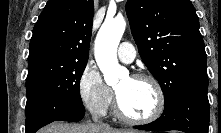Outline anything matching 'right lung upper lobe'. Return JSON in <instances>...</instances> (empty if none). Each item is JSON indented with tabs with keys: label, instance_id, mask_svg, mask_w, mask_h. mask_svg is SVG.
I'll list each match as a JSON object with an SVG mask.
<instances>
[{
	"label": "right lung upper lobe",
	"instance_id": "obj_1",
	"mask_svg": "<svg viewBox=\"0 0 221 133\" xmlns=\"http://www.w3.org/2000/svg\"><path fill=\"white\" fill-rule=\"evenodd\" d=\"M93 13V0H49L33 29L28 75L87 62Z\"/></svg>",
	"mask_w": 221,
	"mask_h": 133
}]
</instances>
